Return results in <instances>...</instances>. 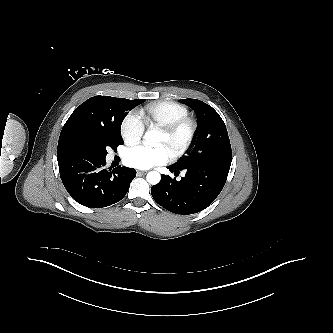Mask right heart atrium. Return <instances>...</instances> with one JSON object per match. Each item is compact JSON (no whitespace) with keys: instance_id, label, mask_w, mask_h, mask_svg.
I'll return each instance as SVG.
<instances>
[{"instance_id":"d8ad5b80","label":"right heart atrium","mask_w":333,"mask_h":333,"mask_svg":"<svg viewBox=\"0 0 333 333\" xmlns=\"http://www.w3.org/2000/svg\"><path fill=\"white\" fill-rule=\"evenodd\" d=\"M145 130L141 118L136 113H128L120 125V134L127 145L138 143Z\"/></svg>"}]
</instances>
